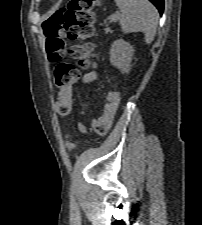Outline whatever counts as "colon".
Returning <instances> with one entry per match:
<instances>
[{
    "instance_id": "1",
    "label": "colon",
    "mask_w": 202,
    "mask_h": 225,
    "mask_svg": "<svg viewBox=\"0 0 202 225\" xmlns=\"http://www.w3.org/2000/svg\"><path fill=\"white\" fill-rule=\"evenodd\" d=\"M98 3L99 0H70L43 24L48 59L56 64L54 81L59 90L56 111L61 116L71 113L72 85L77 76L75 66L70 61L64 60L67 51L66 39L78 41L69 50L74 59L93 53L94 46L85 43L84 40L94 35V8ZM120 101L121 92L113 87L108 88L103 114L91 120L92 129L99 136L108 134Z\"/></svg>"
}]
</instances>
